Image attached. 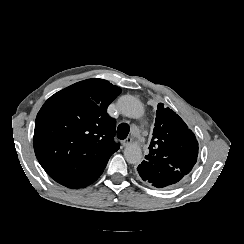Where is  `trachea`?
I'll list each match as a JSON object with an SVG mask.
<instances>
[{
    "label": "trachea",
    "instance_id": "1",
    "mask_svg": "<svg viewBox=\"0 0 244 244\" xmlns=\"http://www.w3.org/2000/svg\"><path fill=\"white\" fill-rule=\"evenodd\" d=\"M130 128L128 124L122 123L117 128V137L119 139H125L128 136Z\"/></svg>",
    "mask_w": 244,
    "mask_h": 244
}]
</instances>
